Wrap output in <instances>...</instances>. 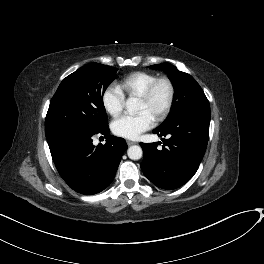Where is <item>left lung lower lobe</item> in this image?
I'll list each match as a JSON object with an SVG mask.
<instances>
[{
	"label": "left lung lower lobe",
	"instance_id": "left-lung-lower-lobe-1",
	"mask_svg": "<svg viewBox=\"0 0 264 264\" xmlns=\"http://www.w3.org/2000/svg\"><path fill=\"white\" fill-rule=\"evenodd\" d=\"M210 110L189 112L163 128H156L162 139V149L157 143H141L144 175L157 187L176 189L188 182L196 173L204 156L208 138Z\"/></svg>",
	"mask_w": 264,
	"mask_h": 264
}]
</instances>
